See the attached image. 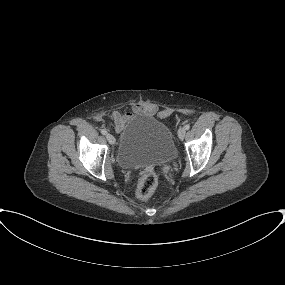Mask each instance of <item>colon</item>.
<instances>
[{"label":"colon","mask_w":285,"mask_h":285,"mask_svg":"<svg viewBox=\"0 0 285 285\" xmlns=\"http://www.w3.org/2000/svg\"><path fill=\"white\" fill-rule=\"evenodd\" d=\"M156 185V175L152 171L145 172L138 184L137 197L141 200H147L153 194Z\"/></svg>","instance_id":"5ec220e1"}]
</instances>
